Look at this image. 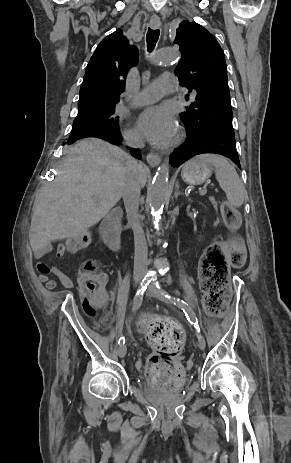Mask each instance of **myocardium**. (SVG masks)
<instances>
[{"mask_svg":"<svg viewBox=\"0 0 291 463\" xmlns=\"http://www.w3.org/2000/svg\"><path fill=\"white\" fill-rule=\"evenodd\" d=\"M179 139H180V135H179V134H176L175 137H174V139H173V143L178 142Z\"/></svg>","mask_w":291,"mask_h":463,"instance_id":"myocardium-1","label":"myocardium"}]
</instances>
